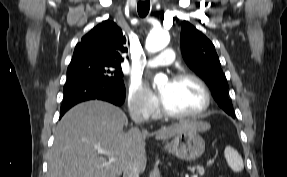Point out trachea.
<instances>
[{"label":"trachea","mask_w":287,"mask_h":177,"mask_svg":"<svg viewBox=\"0 0 287 177\" xmlns=\"http://www.w3.org/2000/svg\"><path fill=\"white\" fill-rule=\"evenodd\" d=\"M150 9V0L144 1V2H138L137 10L140 15V17H146Z\"/></svg>","instance_id":"1"}]
</instances>
